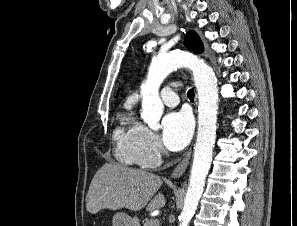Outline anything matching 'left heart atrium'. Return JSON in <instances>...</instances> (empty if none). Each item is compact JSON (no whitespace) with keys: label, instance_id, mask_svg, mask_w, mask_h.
<instances>
[{"label":"left heart atrium","instance_id":"1","mask_svg":"<svg viewBox=\"0 0 297 226\" xmlns=\"http://www.w3.org/2000/svg\"><path fill=\"white\" fill-rule=\"evenodd\" d=\"M162 139L171 151L182 150L190 141L193 123L185 111L171 112L162 121Z\"/></svg>","mask_w":297,"mask_h":226}]
</instances>
